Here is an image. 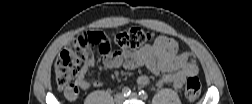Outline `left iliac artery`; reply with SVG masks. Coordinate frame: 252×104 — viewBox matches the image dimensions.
I'll return each instance as SVG.
<instances>
[{
  "instance_id": "44dca946",
  "label": "left iliac artery",
  "mask_w": 252,
  "mask_h": 104,
  "mask_svg": "<svg viewBox=\"0 0 252 104\" xmlns=\"http://www.w3.org/2000/svg\"><path fill=\"white\" fill-rule=\"evenodd\" d=\"M138 95H139V97L141 98V99H144V100H146L147 98H148V95H147V93L145 92V91H139V93H138Z\"/></svg>"
}]
</instances>
